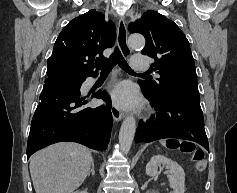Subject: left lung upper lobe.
Listing matches in <instances>:
<instances>
[{
  "label": "left lung upper lobe",
  "mask_w": 237,
  "mask_h": 193,
  "mask_svg": "<svg viewBox=\"0 0 237 193\" xmlns=\"http://www.w3.org/2000/svg\"><path fill=\"white\" fill-rule=\"evenodd\" d=\"M129 30L144 35L146 46L142 54L155 60L151 68L160 74L157 81H139L143 88L156 97L199 96L189 42L173 21L149 10L131 23Z\"/></svg>",
  "instance_id": "obj_1"
}]
</instances>
